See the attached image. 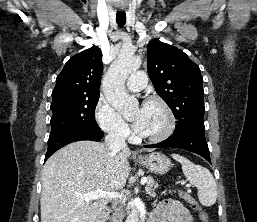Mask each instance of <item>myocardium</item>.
<instances>
[{
	"label": "myocardium",
	"instance_id": "myocardium-1",
	"mask_svg": "<svg viewBox=\"0 0 257 222\" xmlns=\"http://www.w3.org/2000/svg\"><path fill=\"white\" fill-rule=\"evenodd\" d=\"M147 104H158L163 108L167 117L166 126L161 132L157 134L148 135V136L141 135L140 138L142 140L153 142V143L162 142L167 138H169L175 130L176 119H175L174 112L170 107V105L164 99L157 96L148 98L145 101L144 105H147Z\"/></svg>",
	"mask_w": 257,
	"mask_h": 222
}]
</instances>
